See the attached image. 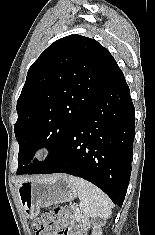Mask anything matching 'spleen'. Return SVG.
I'll return each mask as SVG.
<instances>
[{"instance_id": "1", "label": "spleen", "mask_w": 155, "mask_h": 235, "mask_svg": "<svg viewBox=\"0 0 155 235\" xmlns=\"http://www.w3.org/2000/svg\"><path fill=\"white\" fill-rule=\"evenodd\" d=\"M80 199L81 212L90 218L107 219L111 216L109 198L90 182L75 176H69Z\"/></svg>"}]
</instances>
